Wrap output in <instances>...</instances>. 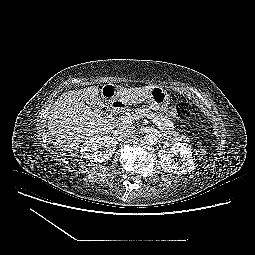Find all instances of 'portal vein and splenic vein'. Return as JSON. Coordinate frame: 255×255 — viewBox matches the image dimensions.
<instances>
[{"mask_svg": "<svg viewBox=\"0 0 255 255\" xmlns=\"http://www.w3.org/2000/svg\"><path fill=\"white\" fill-rule=\"evenodd\" d=\"M146 117L148 119H151L155 124L156 126L162 131V127H161V123L158 121V119L150 116V115H146ZM139 119V117H136V116H133V115H129V116H125L122 118V122L126 123V124H130L132 123L133 121Z\"/></svg>", "mask_w": 255, "mask_h": 255, "instance_id": "18ae733b", "label": "portal vein and splenic vein"}]
</instances>
